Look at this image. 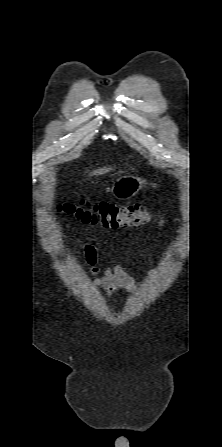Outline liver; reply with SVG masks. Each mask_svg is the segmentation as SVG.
Returning a JSON list of instances; mask_svg holds the SVG:
<instances>
[{
	"mask_svg": "<svg viewBox=\"0 0 222 447\" xmlns=\"http://www.w3.org/2000/svg\"><path fill=\"white\" fill-rule=\"evenodd\" d=\"M112 170L111 168H99L97 170H94L90 173L91 176L93 175H102Z\"/></svg>",
	"mask_w": 222,
	"mask_h": 447,
	"instance_id": "1",
	"label": "liver"
}]
</instances>
